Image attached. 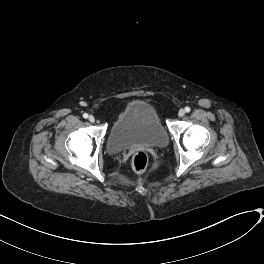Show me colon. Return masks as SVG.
Wrapping results in <instances>:
<instances>
[{"label": "colon", "mask_w": 264, "mask_h": 264, "mask_svg": "<svg viewBox=\"0 0 264 264\" xmlns=\"http://www.w3.org/2000/svg\"><path fill=\"white\" fill-rule=\"evenodd\" d=\"M148 165V155L145 151L141 150L134 154L132 158L133 169L137 172H143Z\"/></svg>", "instance_id": "obj_1"}]
</instances>
